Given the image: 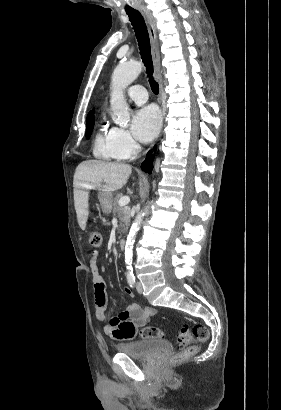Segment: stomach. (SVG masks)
I'll list each match as a JSON object with an SVG mask.
<instances>
[{"label": "stomach", "mask_w": 281, "mask_h": 410, "mask_svg": "<svg viewBox=\"0 0 281 410\" xmlns=\"http://www.w3.org/2000/svg\"><path fill=\"white\" fill-rule=\"evenodd\" d=\"M100 206L105 214H110L113 209V195L111 192L100 189L98 194Z\"/></svg>", "instance_id": "0dacf381"}]
</instances>
